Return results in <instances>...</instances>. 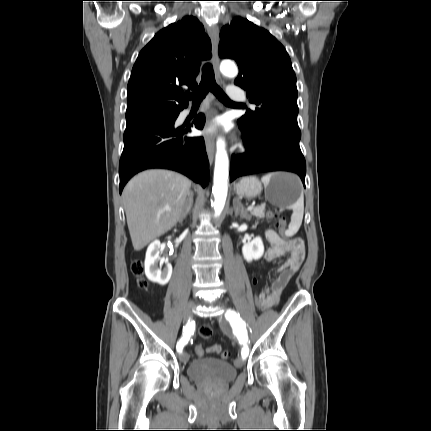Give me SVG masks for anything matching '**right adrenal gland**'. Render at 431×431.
I'll list each match as a JSON object with an SVG mask.
<instances>
[{"label":"right adrenal gland","instance_id":"obj_1","mask_svg":"<svg viewBox=\"0 0 431 431\" xmlns=\"http://www.w3.org/2000/svg\"><path fill=\"white\" fill-rule=\"evenodd\" d=\"M188 200L186 202V204L183 207V211H182V215L180 217L179 222L182 223L183 220L187 217V215L189 214L191 207H192V203H193V196L192 193L188 194Z\"/></svg>","mask_w":431,"mask_h":431}]
</instances>
